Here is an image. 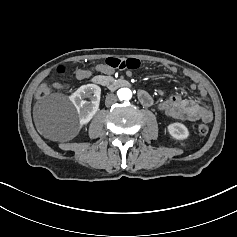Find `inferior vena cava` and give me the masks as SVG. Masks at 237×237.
Listing matches in <instances>:
<instances>
[{
  "label": "inferior vena cava",
  "instance_id": "602c4592",
  "mask_svg": "<svg viewBox=\"0 0 237 237\" xmlns=\"http://www.w3.org/2000/svg\"><path fill=\"white\" fill-rule=\"evenodd\" d=\"M117 100H118V98H117L116 95H114V94H108V95L106 96L105 103H106L107 106H110V105L114 104L115 102H117Z\"/></svg>",
  "mask_w": 237,
  "mask_h": 237
}]
</instances>
